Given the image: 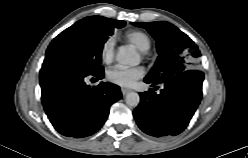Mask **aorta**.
Wrapping results in <instances>:
<instances>
[{
  "mask_svg": "<svg viewBox=\"0 0 248 158\" xmlns=\"http://www.w3.org/2000/svg\"><path fill=\"white\" fill-rule=\"evenodd\" d=\"M117 61L122 65L136 66L140 62L139 55L128 47H120L116 54ZM126 104L130 107H136L140 102L139 94L130 92L125 98Z\"/></svg>",
  "mask_w": 248,
  "mask_h": 158,
  "instance_id": "aorta-1",
  "label": "aorta"
}]
</instances>
